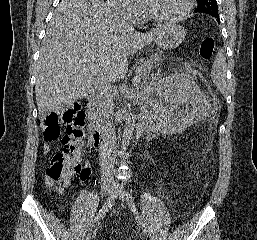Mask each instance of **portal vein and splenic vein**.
Masks as SVG:
<instances>
[{
  "label": "portal vein and splenic vein",
  "mask_w": 257,
  "mask_h": 240,
  "mask_svg": "<svg viewBox=\"0 0 257 240\" xmlns=\"http://www.w3.org/2000/svg\"><path fill=\"white\" fill-rule=\"evenodd\" d=\"M89 70H91V71H94V70H96L95 69V67L93 66L91 69H89ZM138 81V79H136V77L134 78V80H133V83H135V82H137ZM99 82V85L101 86V87H103L105 90H108L109 89V87H110V85L109 84H107V82H105V81H103V80H100V81H98Z\"/></svg>",
  "instance_id": "1"
}]
</instances>
